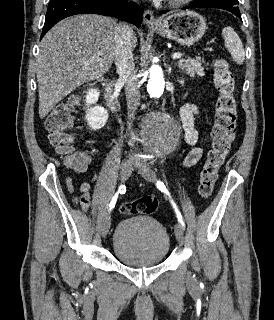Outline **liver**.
<instances>
[{
  "label": "liver",
  "mask_w": 274,
  "mask_h": 320,
  "mask_svg": "<svg viewBox=\"0 0 274 320\" xmlns=\"http://www.w3.org/2000/svg\"><path fill=\"white\" fill-rule=\"evenodd\" d=\"M115 26L113 18L78 14L42 38L36 70L41 120L73 90L109 72L115 58Z\"/></svg>",
  "instance_id": "6515ba94"
}]
</instances>
